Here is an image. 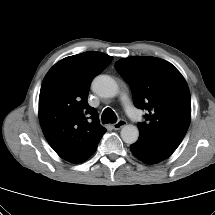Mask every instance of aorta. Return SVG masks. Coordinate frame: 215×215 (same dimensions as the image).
Returning a JSON list of instances; mask_svg holds the SVG:
<instances>
[{"label": "aorta", "mask_w": 215, "mask_h": 215, "mask_svg": "<svg viewBox=\"0 0 215 215\" xmlns=\"http://www.w3.org/2000/svg\"><path fill=\"white\" fill-rule=\"evenodd\" d=\"M92 91L103 98H113L118 94L119 87L116 81L108 75H99L91 84ZM139 137V130L135 125H125L121 129V138L127 144H133Z\"/></svg>", "instance_id": "762f6f07"}]
</instances>
